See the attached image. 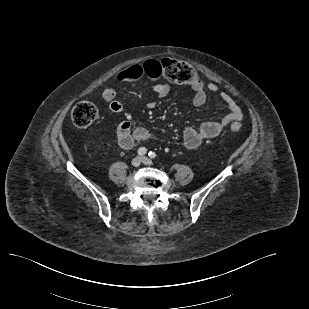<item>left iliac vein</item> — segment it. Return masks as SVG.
Here are the masks:
<instances>
[{
  "label": "left iliac vein",
  "mask_w": 309,
  "mask_h": 309,
  "mask_svg": "<svg viewBox=\"0 0 309 309\" xmlns=\"http://www.w3.org/2000/svg\"><path fill=\"white\" fill-rule=\"evenodd\" d=\"M142 163L145 165H151L152 161L147 157H141Z\"/></svg>",
  "instance_id": "4c4485c4"
}]
</instances>
